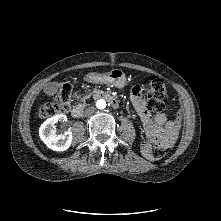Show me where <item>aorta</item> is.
Masks as SVG:
<instances>
[{
    "mask_svg": "<svg viewBox=\"0 0 221 221\" xmlns=\"http://www.w3.org/2000/svg\"><path fill=\"white\" fill-rule=\"evenodd\" d=\"M96 107L98 109H104L106 107V101L104 99L97 100Z\"/></svg>",
    "mask_w": 221,
    "mask_h": 221,
    "instance_id": "762f6f07",
    "label": "aorta"
}]
</instances>
